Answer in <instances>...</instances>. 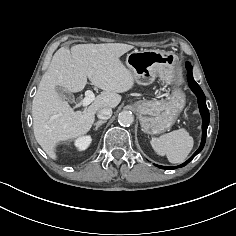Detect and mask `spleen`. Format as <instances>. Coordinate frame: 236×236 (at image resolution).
I'll use <instances>...</instances> for the list:
<instances>
[{
  "instance_id": "3e777b00",
  "label": "spleen",
  "mask_w": 236,
  "mask_h": 236,
  "mask_svg": "<svg viewBox=\"0 0 236 236\" xmlns=\"http://www.w3.org/2000/svg\"><path fill=\"white\" fill-rule=\"evenodd\" d=\"M152 148L161 156L166 155L170 163H182L191 152L194 140L184 129L174 130L159 138H152Z\"/></svg>"
}]
</instances>
